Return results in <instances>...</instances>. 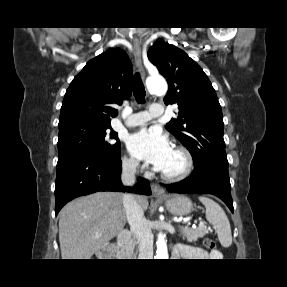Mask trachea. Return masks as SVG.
Segmentation results:
<instances>
[{
    "label": "trachea",
    "instance_id": "obj_1",
    "mask_svg": "<svg viewBox=\"0 0 287 287\" xmlns=\"http://www.w3.org/2000/svg\"><path fill=\"white\" fill-rule=\"evenodd\" d=\"M132 87H133V94L137 103H144L146 92L143 82L138 73L134 75Z\"/></svg>",
    "mask_w": 287,
    "mask_h": 287
}]
</instances>
